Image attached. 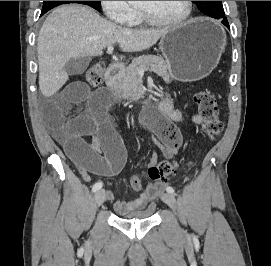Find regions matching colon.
<instances>
[{
    "instance_id": "colon-1",
    "label": "colon",
    "mask_w": 271,
    "mask_h": 266,
    "mask_svg": "<svg viewBox=\"0 0 271 266\" xmlns=\"http://www.w3.org/2000/svg\"><path fill=\"white\" fill-rule=\"evenodd\" d=\"M104 72V64L91 65L86 73V83L90 88L97 87ZM203 119L202 131L208 140H215L223 131L224 124L219 118V109L215 96L208 90L198 92L194 98ZM148 177L154 182H163L177 173V165L170 161H160L148 168Z\"/></svg>"
}]
</instances>
